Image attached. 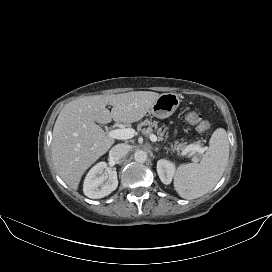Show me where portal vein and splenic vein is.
Wrapping results in <instances>:
<instances>
[{
	"label": "portal vein and splenic vein",
	"mask_w": 272,
	"mask_h": 272,
	"mask_svg": "<svg viewBox=\"0 0 272 272\" xmlns=\"http://www.w3.org/2000/svg\"><path fill=\"white\" fill-rule=\"evenodd\" d=\"M136 134L135 130L132 128H126V129H114L109 131L108 136L110 138L113 139H119V140H126V139H130L132 137H134V135ZM150 140L152 142H156L157 141V136L155 134H151L150 135ZM190 150H194L197 151L199 153H204L205 149L200 147V146H192V149ZM183 156L186 155V152L181 153Z\"/></svg>",
	"instance_id": "portal-vein-and-splenic-vein-1"
}]
</instances>
